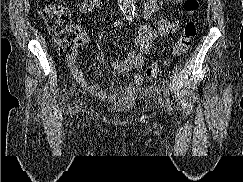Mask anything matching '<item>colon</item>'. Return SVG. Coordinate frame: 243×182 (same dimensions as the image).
<instances>
[{"mask_svg": "<svg viewBox=\"0 0 243 182\" xmlns=\"http://www.w3.org/2000/svg\"><path fill=\"white\" fill-rule=\"evenodd\" d=\"M183 9L189 16H193L199 9V0H184ZM40 14L46 28L53 36L59 55L66 60L74 58L78 40L76 31L70 24L68 8L60 1L46 5ZM196 34L197 25L190 19L185 23L182 34L173 47L172 56H183L190 48ZM163 65L164 63H154L145 68L143 75L147 79H152L160 73Z\"/></svg>", "mask_w": 243, "mask_h": 182, "instance_id": "colon-1", "label": "colon"}]
</instances>
